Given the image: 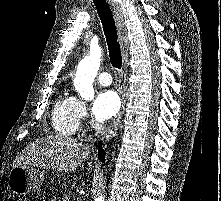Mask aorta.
<instances>
[{"mask_svg":"<svg viewBox=\"0 0 221 201\" xmlns=\"http://www.w3.org/2000/svg\"><path fill=\"white\" fill-rule=\"evenodd\" d=\"M102 51L100 48L90 50V55L84 59L76 73L74 86L76 91L86 99L93 97V81L100 67ZM94 201H105L103 195H99Z\"/></svg>","mask_w":221,"mask_h":201,"instance_id":"aorta-1","label":"aorta"}]
</instances>
